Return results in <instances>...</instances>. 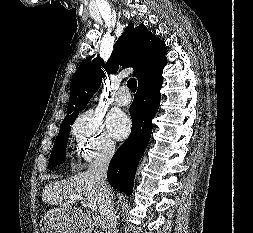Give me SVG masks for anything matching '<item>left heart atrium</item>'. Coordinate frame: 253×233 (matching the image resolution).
I'll list each match as a JSON object with an SVG mask.
<instances>
[{
  "mask_svg": "<svg viewBox=\"0 0 253 233\" xmlns=\"http://www.w3.org/2000/svg\"><path fill=\"white\" fill-rule=\"evenodd\" d=\"M108 129L114 138L122 140L129 134L131 122L123 113L113 112L108 117Z\"/></svg>",
  "mask_w": 253,
  "mask_h": 233,
  "instance_id": "obj_1",
  "label": "left heart atrium"
}]
</instances>
